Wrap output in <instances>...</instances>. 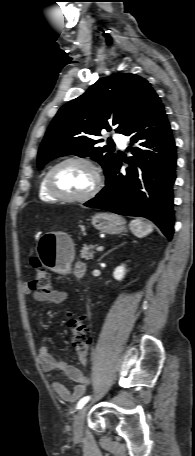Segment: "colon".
I'll list each match as a JSON object with an SVG mask.
<instances>
[{
    "instance_id": "1",
    "label": "colon",
    "mask_w": 195,
    "mask_h": 456,
    "mask_svg": "<svg viewBox=\"0 0 195 456\" xmlns=\"http://www.w3.org/2000/svg\"><path fill=\"white\" fill-rule=\"evenodd\" d=\"M31 266L35 270V277L30 282V287L36 291L50 292L52 290V282L48 271L36 257L31 258ZM68 326L71 330V342L76 357L81 362L86 363L92 342L90 330L82 316L69 315Z\"/></svg>"
}]
</instances>
